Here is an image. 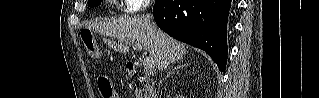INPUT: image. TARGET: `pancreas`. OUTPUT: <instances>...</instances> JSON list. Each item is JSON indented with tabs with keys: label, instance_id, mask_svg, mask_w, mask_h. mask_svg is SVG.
<instances>
[{
	"label": "pancreas",
	"instance_id": "obj_1",
	"mask_svg": "<svg viewBox=\"0 0 319 98\" xmlns=\"http://www.w3.org/2000/svg\"><path fill=\"white\" fill-rule=\"evenodd\" d=\"M151 91L150 85L147 83V78L144 79V82L140 84L139 88L135 90L136 98H142L143 94H147Z\"/></svg>",
	"mask_w": 319,
	"mask_h": 98
}]
</instances>
